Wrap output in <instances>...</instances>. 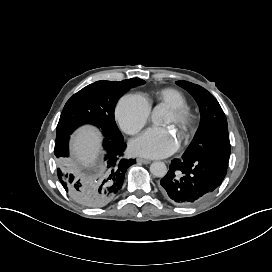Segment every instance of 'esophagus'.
Masks as SVG:
<instances>
[{
    "label": "esophagus",
    "mask_w": 272,
    "mask_h": 272,
    "mask_svg": "<svg viewBox=\"0 0 272 272\" xmlns=\"http://www.w3.org/2000/svg\"><path fill=\"white\" fill-rule=\"evenodd\" d=\"M137 161L143 164H150L151 160L145 158H137Z\"/></svg>",
    "instance_id": "obj_1"
}]
</instances>
